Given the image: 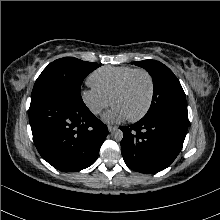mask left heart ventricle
<instances>
[{
	"instance_id": "obj_1",
	"label": "left heart ventricle",
	"mask_w": 220,
	"mask_h": 220,
	"mask_svg": "<svg viewBox=\"0 0 220 220\" xmlns=\"http://www.w3.org/2000/svg\"><path fill=\"white\" fill-rule=\"evenodd\" d=\"M149 82L144 74L133 76L127 87L113 100V105L121 107L128 117L139 114L147 104Z\"/></svg>"
}]
</instances>
